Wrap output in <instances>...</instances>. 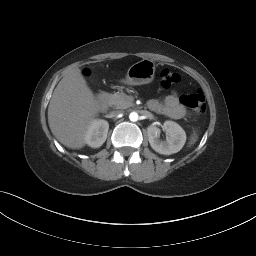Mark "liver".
Segmentation results:
<instances>
[{"instance_id":"1","label":"liver","mask_w":256,"mask_h":256,"mask_svg":"<svg viewBox=\"0 0 256 256\" xmlns=\"http://www.w3.org/2000/svg\"><path fill=\"white\" fill-rule=\"evenodd\" d=\"M99 112L98 104L79 68L70 70L58 83L48 106L52 134L64 146L81 149L86 131Z\"/></svg>"}]
</instances>
